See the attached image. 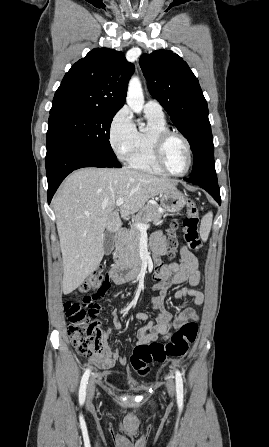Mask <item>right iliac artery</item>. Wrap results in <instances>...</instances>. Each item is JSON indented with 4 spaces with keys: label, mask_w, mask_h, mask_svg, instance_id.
I'll list each match as a JSON object with an SVG mask.
<instances>
[{
    "label": "right iliac artery",
    "mask_w": 269,
    "mask_h": 447,
    "mask_svg": "<svg viewBox=\"0 0 269 447\" xmlns=\"http://www.w3.org/2000/svg\"><path fill=\"white\" fill-rule=\"evenodd\" d=\"M89 375H90V370H86V372L84 373L82 379H81V383H80V389H79V402L82 405L85 401V397H86V387L88 384V379H89Z\"/></svg>",
    "instance_id": "1"
}]
</instances>
